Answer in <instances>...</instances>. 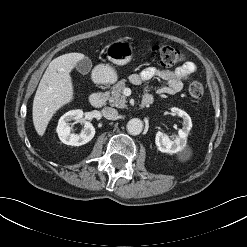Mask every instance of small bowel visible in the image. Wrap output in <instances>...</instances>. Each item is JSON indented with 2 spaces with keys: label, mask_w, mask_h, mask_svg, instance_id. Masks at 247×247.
<instances>
[{
  "label": "small bowel",
  "mask_w": 247,
  "mask_h": 247,
  "mask_svg": "<svg viewBox=\"0 0 247 247\" xmlns=\"http://www.w3.org/2000/svg\"><path fill=\"white\" fill-rule=\"evenodd\" d=\"M196 69V64L192 61H185L172 70L147 67L139 73L132 74L130 81L135 85H142L153 78H160L166 84L159 87L157 92L161 95H171L181 91L184 82L192 78ZM145 96L152 97L150 93H146Z\"/></svg>",
  "instance_id": "1"
}]
</instances>
